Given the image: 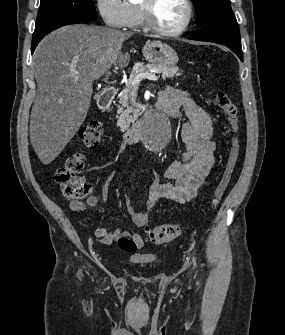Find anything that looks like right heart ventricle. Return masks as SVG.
<instances>
[{
    "instance_id": "right-heart-ventricle-1",
    "label": "right heart ventricle",
    "mask_w": 285,
    "mask_h": 335,
    "mask_svg": "<svg viewBox=\"0 0 285 335\" xmlns=\"http://www.w3.org/2000/svg\"><path fill=\"white\" fill-rule=\"evenodd\" d=\"M135 16L129 26L133 28H139L142 25V15H141V2L140 1H131ZM164 60H171L170 58H165Z\"/></svg>"
}]
</instances>
